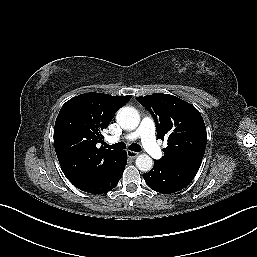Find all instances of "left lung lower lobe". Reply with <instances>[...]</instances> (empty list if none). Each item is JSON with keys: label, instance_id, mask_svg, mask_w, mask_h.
I'll return each mask as SVG.
<instances>
[{"label": "left lung lower lobe", "instance_id": "left-lung-lower-lobe-1", "mask_svg": "<svg viewBox=\"0 0 257 257\" xmlns=\"http://www.w3.org/2000/svg\"><path fill=\"white\" fill-rule=\"evenodd\" d=\"M196 174L188 168L154 160L152 170L143 174V178L151 189L170 194L185 188Z\"/></svg>", "mask_w": 257, "mask_h": 257}]
</instances>
